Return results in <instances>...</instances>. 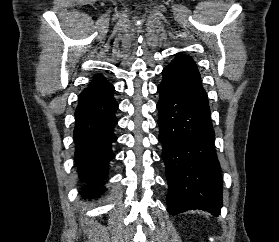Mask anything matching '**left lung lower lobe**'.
Wrapping results in <instances>:
<instances>
[{
	"label": "left lung lower lobe",
	"instance_id": "1",
	"mask_svg": "<svg viewBox=\"0 0 279 242\" xmlns=\"http://www.w3.org/2000/svg\"><path fill=\"white\" fill-rule=\"evenodd\" d=\"M159 141L168 184V212L199 209L212 214L222 207V180L214 145L210 109L195 62L178 55L163 71Z\"/></svg>",
	"mask_w": 279,
	"mask_h": 242
}]
</instances>
